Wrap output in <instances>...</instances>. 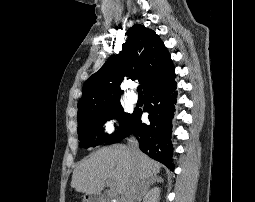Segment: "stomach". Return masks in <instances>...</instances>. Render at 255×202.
I'll return each mask as SVG.
<instances>
[{
    "instance_id": "obj_1",
    "label": "stomach",
    "mask_w": 255,
    "mask_h": 202,
    "mask_svg": "<svg viewBox=\"0 0 255 202\" xmlns=\"http://www.w3.org/2000/svg\"><path fill=\"white\" fill-rule=\"evenodd\" d=\"M83 202H91V197L89 195H85L83 197Z\"/></svg>"
}]
</instances>
